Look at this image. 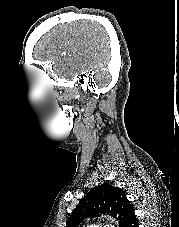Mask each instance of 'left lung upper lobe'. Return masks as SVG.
I'll return each mask as SVG.
<instances>
[{"mask_svg":"<svg viewBox=\"0 0 179 227\" xmlns=\"http://www.w3.org/2000/svg\"><path fill=\"white\" fill-rule=\"evenodd\" d=\"M99 213H111L113 217L117 216L120 227L138 225L134 207L128 201L123 189L105 183L86 194L70 215L66 227H76L85 218L98 217Z\"/></svg>","mask_w":179,"mask_h":227,"instance_id":"left-lung-upper-lobe-1","label":"left lung upper lobe"}]
</instances>
